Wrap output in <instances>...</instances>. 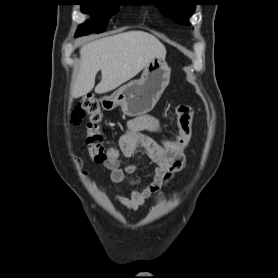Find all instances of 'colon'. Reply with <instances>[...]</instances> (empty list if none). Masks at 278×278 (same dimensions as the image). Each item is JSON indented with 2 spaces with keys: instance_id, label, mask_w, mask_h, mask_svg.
Returning a JSON list of instances; mask_svg holds the SVG:
<instances>
[{
  "instance_id": "obj_1",
  "label": "colon",
  "mask_w": 278,
  "mask_h": 278,
  "mask_svg": "<svg viewBox=\"0 0 278 278\" xmlns=\"http://www.w3.org/2000/svg\"><path fill=\"white\" fill-rule=\"evenodd\" d=\"M178 133L174 138H166L161 143L171 152L184 154L192 136L193 110L188 105H179L176 108ZM71 122L79 124L87 121L86 144L92 159L97 163L117 159L120 156L118 147H105L104 135L100 130L102 120L101 109L98 100L91 96L81 98L75 105L71 116Z\"/></svg>"
}]
</instances>
